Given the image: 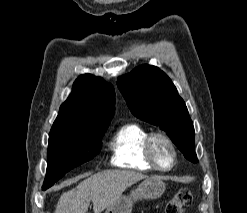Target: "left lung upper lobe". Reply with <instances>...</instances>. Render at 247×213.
Wrapping results in <instances>:
<instances>
[{"label":"left lung upper lobe","instance_id":"left-lung-upper-lobe-1","mask_svg":"<svg viewBox=\"0 0 247 213\" xmlns=\"http://www.w3.org/2000/svg\"><path fill=\"white\" fill-rule=\"evenodd\" d=\"M117 85L136 117L159 126L188 160L198 162L194 127L187 107L163 71L152 65H141L119 77Z\"/></svg>","mask_w":247,"mask_h":213}]
</instances>
